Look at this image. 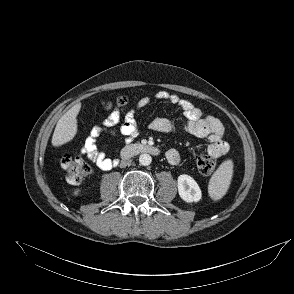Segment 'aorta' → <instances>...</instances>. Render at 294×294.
Listing matches in <instances>:
<instances>
[{"label": "aorta", "instance_id": "1", "mask_svg": "<svg viewBox=\"0 0 294 294\" xmlns=\"http://www.w3.org/2000/svg\"><path fill=\"white\" fill-rule=\"evenodd\" d=\"M152 162V158L149 154H141L139 156V163L143 166H148Z\"/></svg>", "mask_w": 294, "mask_h": 294}]
</instances>
